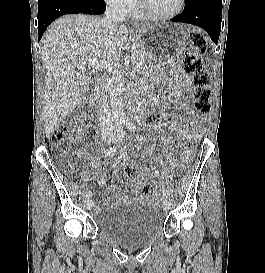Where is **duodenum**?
Here are the masks:
<instances>
[{
  "instance_id": "410a0bca",
  "label": "duodenum",
  "mask_w": 265,
  "mask_h": 273,
  "mask_svg": "<svg viewBox=\"0 0 265 273\" xmlns=\"http://www.w3.org/2000/svg\"><path fill=\"white\" fill-rule=\"evenodd\" d=\"M134 116H135L136 118H139V117H140V112H139V111H136V113L134 114Z\"/></svg>"
}]
</instances>
